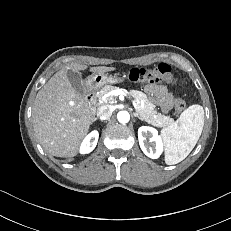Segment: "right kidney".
<instances>
[{"label": "right kidney", "instance_id": "obj_1", "mask_svg": "<svg viewBox=\"0 0 231 231\" xmlns=\"http://www.w3.org/2000/svg\"><path fill=\"white\" fill-rule=\"evenodd\" d=\"M98 137L99 133L96 130L87 135L80 146V153L87 154L93 151L97 145Z\"/></svg>", "mask_w": 231, "mask_h": 231}]
</instances>
